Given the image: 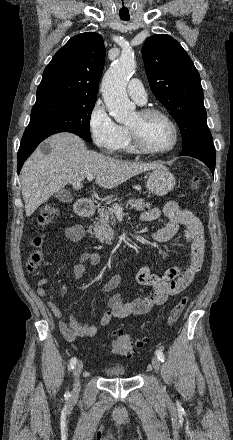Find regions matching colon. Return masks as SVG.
<instances>
[{
	"mask_svg": "<svg viewBox=\"0 0 233 440\" xmlns=\"http://www.w3.org/2000/svg\"><path fill=\"white\" fill-rule=\"evenodd\" d=\"M201 183L200 177L195 175L190 179V187L192 189L199 188ZM59 215V209L55 205H45L41 208L38 221L41 225H47L54 221ZM34 250L31 252L28 262L27 268L30 272H34L40 266L43 253L40 250V246L42 244V240L39 237H35L31 241ZM188 303V298L183 297L177 304L169 312L167 322L168 324L175 323L181 314L183 313L186 305ZM146 344L145 339L133 341L129 334L122 330H118L115 332V339L111 344L112 352L116 355L123 357H131L135 353V347H143Z\"/></svg>",
	"mask_w": 233,
	"mask_h": 440,
	"instance_id": "1",
	"label": "colon"
}]
</instances>
